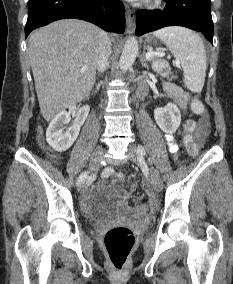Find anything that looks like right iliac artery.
Returning a JSON list of instances; mask_svg holds the SVG:
<instances>
[{"instance_id": "obj_1", "label": "right iliac artery", "mask_w": 233, "mask_h": 284, "mask_svg": "<svg viewBox=\"0 0 233 284\" xmlns=\"http://www.w3.org/2000/svg\"><path fill=\"white\" fill-rule=\"evenodd\" d=\"M88 176V172L82 173L79 178L77 179V186H79V183H83V178Z\"/></svg>"}]
</instances>
